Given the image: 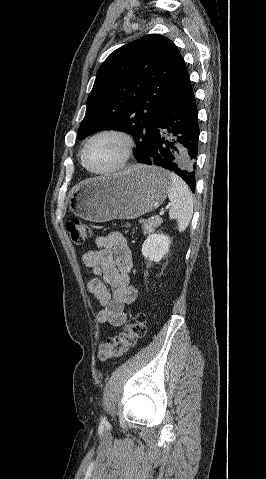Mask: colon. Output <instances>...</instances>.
<instances>
[{
    "mask_svg": "<svg viewBox=\"0 0 266 479\" xmlns=\"http://www.w3.org/2000/svg\"><path fill=\"white\" fill-rule=\"evenodd\" d=\"M66 229L74 244H85L92 235V229L77 218L70 219L66 223ZM146 316L144 313L133 315L124 329L116 336L104 340L98 350L101 361L118 359L133 348L138 339L145 335Z\"/></svg>",
    "mask_w": 266,
    "mask_h": 479,
    "instance_id": "obj_1",
    "label": "colon"
}]
</instances>
